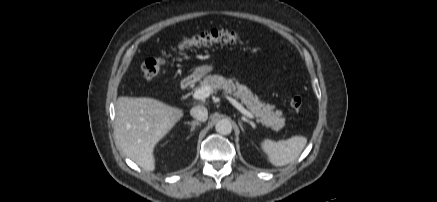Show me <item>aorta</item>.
<instances>
[{
    "mask_svg": "<svg viewBox=\"0 0 437 202\" xmlns=\"http://www.w3.org/2000/svg\"><path fill=\"white\" fill-rule=\"evenodd\" d=\"M215 130L222 135H229L232 131V124L227 119L219 120L215 125Z\"/></svg>",
    "mask_w": 437,
    "mask_h": 202,
    "instance_id": "762f6f07",
    "label": "aorta"
}]
</instances>
